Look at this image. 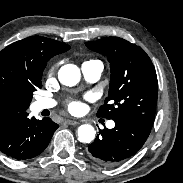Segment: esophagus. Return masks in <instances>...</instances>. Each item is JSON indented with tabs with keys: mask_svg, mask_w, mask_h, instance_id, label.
<instances>
[{
	"mask_svg": "<svg viewBox=\"0 0 183 183\" xmlns=\"http://www.w3.org/2000/svg\"><path fill=\"white\" fill-rule=\"evenodd\" d=\"M65 123H67L68 125H77L79 122L75 119H67L65 120Z\"/></svg>",
	"mask_w": 183,
	"mask_h": 183,
	"instance_id": "34e87169",
	"label": "esophagus"
}]
</instances>
